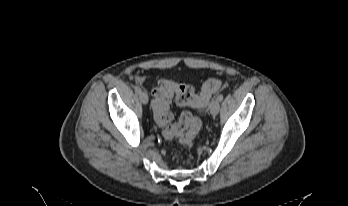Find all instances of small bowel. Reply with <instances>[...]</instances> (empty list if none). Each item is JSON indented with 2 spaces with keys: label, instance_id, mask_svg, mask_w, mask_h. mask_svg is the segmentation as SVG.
<instances>
[{
  "label": "small bowel",
  "instance_id": "obj_1",
  "mask_svg": "<svg viewBox=\"0 0 348 206\" xmlns=\"http://www.w3.org/2000/svg\"><path fill=\"white\" fill-rule=\"evenodd\" d=\"M135 79L138 82H144L147 79V77H145V76H135Z\"/></svg>",
  "mask_w": 348,
  "mask_h": 206
}]
</instances>
